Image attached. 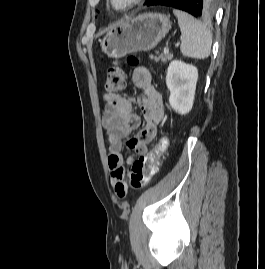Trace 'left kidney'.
<instances>
[{
	"mask_svg": "<svg viewBox=\"0 0 265 269\" xmlns=\"http://www.w3.org/2000/svg\"><path fill=\"white\" fill-rule=\"evenodd\" d=\"M197 80L198 70L195 66L180 60L169 64L166 84L170 90L169 103L175 112L184 115L191 111Z\"/></svg>",
	"mask_w": 265,
	"mask_h": 269,
	"instance_id": "1",
	"label": "left kidney"
}]
</instances>
